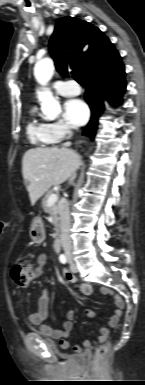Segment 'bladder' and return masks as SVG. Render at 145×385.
I'll use <instances>...</instances> for the list:
<instances>
[{
	"mask_svg": "<svg viewBox=\"0 0 145 385\" xmlns=\"http://www.w3.org/2000/svg\"><path fill=\"white\" fill-rule=\"evenodd\" d=\"M48 342L54 346V343L51 340H48ZM78 357H81V361H85V357L83 355H79Z\"/></svg>",
	"mask_w": 145,
	"mask_h": 385,
	"instance_id": "1",
	"label": "bladder"
}]
</instances>
